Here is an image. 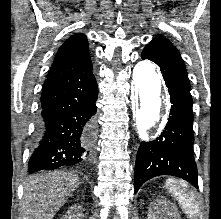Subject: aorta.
Instances as JSON below:
<instances>
[{"label": "aorta", "instance_id": "aorta-1", "mask_svg": "<svg viewBox=\"0 0 221 219\" xmlns=\"http://www.w3.org/2000/svg\"><path fill=\"white\" fill-rule=\"evenodd\" d=\"M132 87L134 122L139 137L144 139L147 130L160 120L165 103L161 77L151 61L142 60L136 64L133 70Z\"/></svg>", "mask_w": 221, "mask_h": 219}]
</instances>
